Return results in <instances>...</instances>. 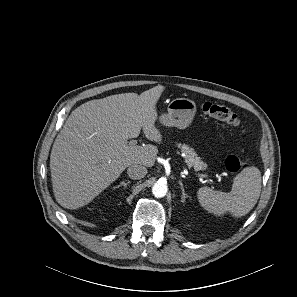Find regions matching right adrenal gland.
Segmentation results:
<instances>
[{"label":"right adrenal gland","instance_id":"1","mask_svg":"<svg viewBox=\"0 0 297 297\" xmlns=\"http://www.w3.org/2000/svg\"><path fill=\"white\" fill-rule=\"evenodd\" d=\"M130 184V181H122L118 186L114 187V188H119L120 186H123L124 188L127 187V185Z\"/></svg>","mask_w":297,"mask_h":297}]
</instances>
